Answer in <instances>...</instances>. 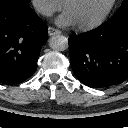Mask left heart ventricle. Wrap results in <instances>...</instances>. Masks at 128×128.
Returning a JSON list of instances; mask_svg holds the SVG:
<instances>
[{"label":"left heart ventricle","mask_w":128,"mask_h":128,"mask_svg":"<svg viewBox=\"0 0 128 128\" xmlns=\"http://www.w3.org/2000/svg\"><path fill=\"white\" fill-rule=\"evenodd\" d=\"M111 0H75L67 8L76 25L95 20L105 10Z\"/></svg>","instance_id":"left-heart-ventricle-1"}]
</instances>
